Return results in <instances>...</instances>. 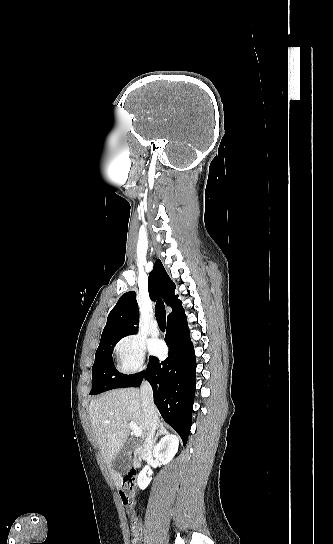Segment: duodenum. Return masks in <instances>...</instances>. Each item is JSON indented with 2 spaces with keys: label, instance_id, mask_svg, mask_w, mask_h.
Segmentation results:
<instances>
[{
  "label": "duodenum",
  "instance_id": "duodenum-1",
  "mask_svg": "<svg viewBox=\"0 0 333 544\" xmlns=\"http://www.w3.org/2000/svg\"><path fill=\"white\" fill-rule=\"evenodd\" d=\"M149 456V450L146 448H136L133 456L134 467L137 468Z\"/></svg>",
  "mask_w": 333,
  "mask_h": 544
}]
</instances>
